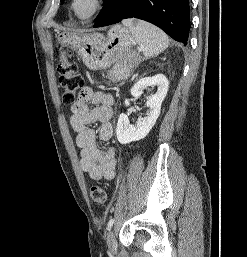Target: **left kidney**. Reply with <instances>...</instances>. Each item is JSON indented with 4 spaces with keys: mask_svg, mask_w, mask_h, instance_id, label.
Here are the masks:
<instances>
[{
    "mask_svg": "<svg viewBox=\"0 0 247 257\" xmlns=\"http://www.w3.org/2000/svg\"><path fill=\"white\" fill-rule=\"evenodd\" d=\"M150 86H157V92L148 97L146 102L149 110L144 118H139L135 125H131L126 114H120L116 135L121 144H128L132 141H138L145 138L152 127L154 126L157 118L159 117L161 104L167 95L169 82L166 76L158 74L152 77H145L140 79L131 89L133 97H139L143 90ZM125 106H129V100H125Z\"/></svg>",
    "mask_w": 247,
    "mask_h": 257,
    "instance_id": "obj_1",
    "label": "left kidney"
}]
</instances>
